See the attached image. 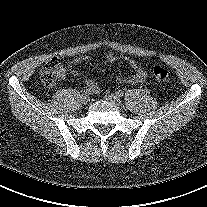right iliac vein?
I'll list each match as a JSON object with an SVG mask.
<instances>
[{"label":"right iliac vein","mask_w":207,"mask_h":207,"mask_svg":"<svg viewBox=\"0 0 207 207\" xmlns=\"http://www.w3.org/2000/svg\"><path fill=\"white\" fill-rule=\"evenodd\" d=\"M89 101H90L89 96L84 94V95L82 96V102H83V104H88Z\"/></svg>","instance_id":"obj_1"}]
</instances>
